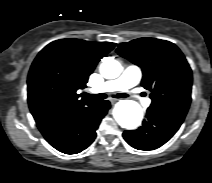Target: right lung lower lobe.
I'll list each match as a JSON object with an SVG mask.
<instances>
[{
    "mask_svg": "<svg viewBox=\"0 0 212 183\" xmlns=\"http://www.w3.org/2000/svg\"><path fill=\"white\" fill-rule=\"evenodd\" d=\"M109 108V101H100L80 111L63 113L37 125L54 148L66 154H76L94 141L96 130Z\"/></svg>",
    "mask_w": 212,
    "mask_h": 183,
    "instance_id": "obj_1",
    "label": "right lung lower lobe"
}]
</instances>
